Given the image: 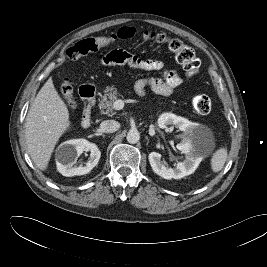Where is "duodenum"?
Returning <instances> with one entry per match:
<instances>
[{
  "instance_id": "obj_1",
  "label": "duodenum",
  "mask_w": 267,
  "mask_h": 267,
  "mask_svg": "<svg viewBox=\"0 0 267 267\" xmlns=\"http://www.w3.org/2000/svg\"><path fill=\"white\" fill-rule=\"evenodd\" d=\"M80 95L83 100V115L81 119V125L87 128L92 122V108L96 96V89L92 85H85L80 88Z\"/></svg>"
}]
</instances>
